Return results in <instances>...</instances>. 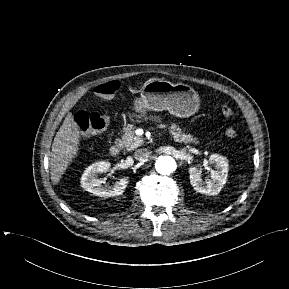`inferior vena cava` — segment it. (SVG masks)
<instances>
[{
  "label": "inferior vena cava",
  "mask_w": 289,
  "mask_h": 289,
  "mask_svg": "<svg viewBox=\"0 0 289 289\" xmlns=\"http://www.w3.org/2000/svg\"><path fill=\"white\" fill-rule=\"evenodd\" d=\"M150 156V152L145 148L143 149H138L134 153V158L138 161H146Z\"/></svg>",
  "instance_id": "obj_1"
}]
</instances>
